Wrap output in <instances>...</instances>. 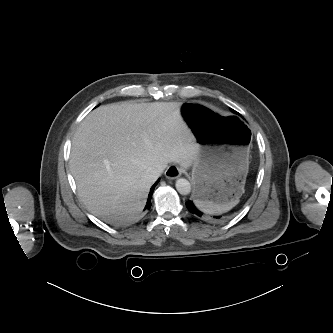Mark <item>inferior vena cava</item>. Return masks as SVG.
<instances>
[{
    "label": "inferior vena cava",
    "instance_id": "1",
    "mask_svg": "<svg viewBox=\"0 0 333 333\" xmlns=\"http://www.w3.org/2000/svg\"><path fill=\"white\" fill-rule=\"evenodd\" d=\"M163 170H164L163 167L149 168L146 171L145 176L150 177V178L156 180L162 174Z\"/></svg>",
    "mask_w": 333,
    "mask_h": 333
}]
</instances>
